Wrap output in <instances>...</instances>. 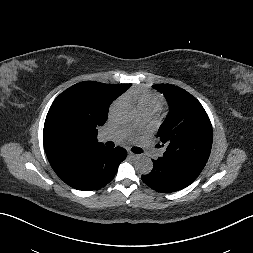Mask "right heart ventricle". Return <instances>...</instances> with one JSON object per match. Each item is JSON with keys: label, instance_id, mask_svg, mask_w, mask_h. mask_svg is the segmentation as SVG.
I'll use <instances>...</instances> for the list:
<instances>
[{"label": "right heart ventricle", "instance_id": "right-heart-ventricle-1", "mask_svg": "<svg viewBox=\"0 0 253 253\" xmlns=\"http://www.w3.org/2000/svg\"><path fill=\"white\" fill-rule=\"evenodd\" d=\"M128 98L135 102L139 111L156 112L162 106L160 98L147 91L134 90L128 95Z\"/></svg>", "mask_w": 253, "mask_h": 253}]
</instances>
